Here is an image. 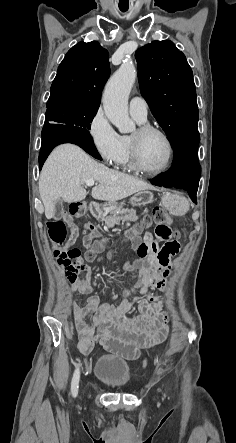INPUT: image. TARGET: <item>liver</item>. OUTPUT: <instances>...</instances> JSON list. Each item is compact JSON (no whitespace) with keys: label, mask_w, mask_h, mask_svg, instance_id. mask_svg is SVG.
Wrapping results in <instances>:
<instances>
[{"label":"liver","mask_w":236,"mask_h":443,"mask_svg":"<svg viewBox=\"0 0 236 443\" xmlns=\"http://www.w3.org/2000/svg\"><path fill=\"white\" fill-rule=\"evenodd\" d=\"M87 180L98 183L91 191L92 197L109 203L153 188L147 182L98 163L76 145L63 144L52 151L40 174L39 192L46 218H53L59 199L68 203L84 200L87 192L83 185Z\"/></svg>","instance_id":"liver-1"}]
</instances>
